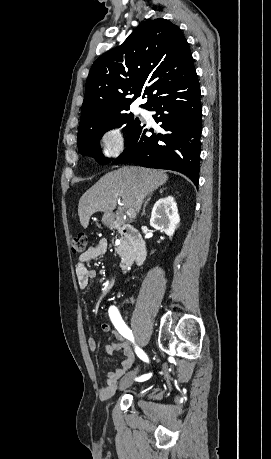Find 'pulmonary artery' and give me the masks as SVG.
I'll use <instances>...</instances> for the list:
<instances>
[{
  "label": "pulmonary artery",
  "instance_id": "pulmonary-artery-1",
  "mask_svg": "<svg viewBox=\"0 0 271 459\" xmlns=\"http://www.w3.org/2000/svg\"><path fill=\"white\" fill-rule=\"evenodd\" d=\"M135 112L136 114L138 115H141L142 117H144L145 119L151 121L152 120V115H151V112H149L148 110L142 108V107H137L135 109Z\"/></svg>",
  "mask_w": 271,
  "mask_h": 459
}]
</instances>
